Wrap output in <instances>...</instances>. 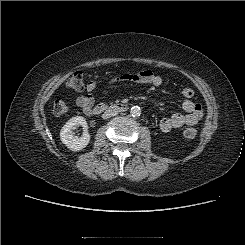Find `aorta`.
I'll use <instances>...</instances> for the list:
<instances>
[{
	"label": "aorta",
	"mask_w": 245,
	"mask_h": 245,
	"mask_svg": "<svg viewBox=\"0 0 245 245\" xmlns=\"http://www.w3.org/2000/svg\"><path fill=\"white\" fill-rule=\"evenodd\" d=\"M130 114L133 117H139L141 115V108L138 106H133L130 110Z\"/></svg>",
	"instance_id": "aorta-1"
}]
</instances>
